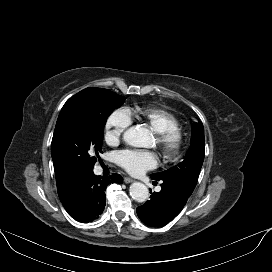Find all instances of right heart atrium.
<instances>
[{
	"label": "right heart atrium",
	"instance_id": "right-heart-atrium-1",
	"mask_svg": "<svg viewBox=\"0 0 272 272\" xmlns=\"http://www.w3.org/2000/svg\"><path fill=\"white\" fill-rule=\"evenodd\" d=\"M131 124L132 120L126 110H114L104 125L105 142L109 145L118 144Z\"/></svg>",
	"mask_w": 272,
	"mask_h": 272
}]
</instances>
